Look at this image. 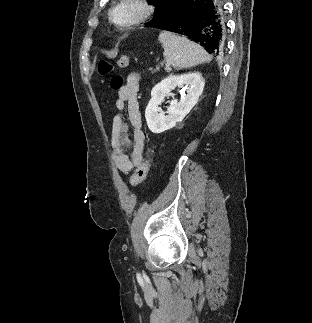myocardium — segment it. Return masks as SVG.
I'll return each instance as SVG.
<instances>
[{"mask_svg":"<svg viewBox=\"0 0 312 323\" xmlns=\"http://www.w3.org/2000/svg\"><path fill=\"white\" fill-rule=\"evenodd\" d=\"M152 0H120L114 3L111 10H106L112 25H118V31H132L140 21H152L158 5L151 3ZM127 13V14H126Z\"/></svg>","mask_w":312,"mask_h":323,"instance_id":"1","label":"myocardium"}]
</instances>
